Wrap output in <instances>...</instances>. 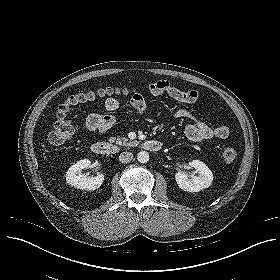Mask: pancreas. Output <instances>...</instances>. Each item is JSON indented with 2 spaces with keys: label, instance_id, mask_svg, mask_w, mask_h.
<instances>
[{
  "label": "pancreas",
  "instance_id": "1",
  "mask_svg": "<svg viewBox=\"0 0 280 280\" xmlns=\"http://www.w3.org/2000/svg\"><path fill=\"white\" fill-rule=\"evenodd\" d=\"M109 142L113 143L115 142L117 145H120V146H133L134 144L137 143V141H128L127 138H121V137H118V138H115V137H111L109 139Z\"/></svg>",
  "mask_w": 280,
  "mask_h": 280
}]
</instances>
